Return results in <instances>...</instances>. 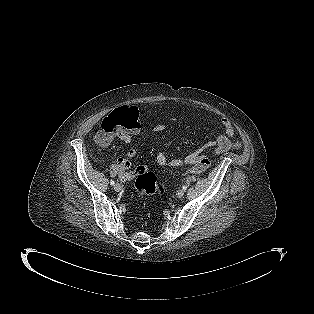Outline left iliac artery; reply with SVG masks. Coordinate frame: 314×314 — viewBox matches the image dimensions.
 <instances>
[{"label": "left iliac artery", "instance_id": "left-iliac-artery-1", "mask_svg": "<svg viewBox=\"0 0 314 314\" xmlns=\"http://www.w3.org/2000/svg\"><path fill=\"white\" fill-rule=\"evenodd\" d=\"M187 187H188L187 185H183V187H182V188H183V190H186V189H187Z\"/></svg>", "mask_w": 314, "mask_h": 314}]
</instances>
